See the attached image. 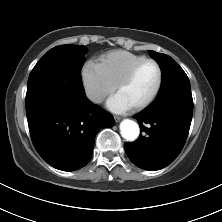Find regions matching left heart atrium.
Returning a JSON list of instances; mask_svg holds the SVG:
<instances>
[{
    "label": "left heart atrium",
    "instance_id": "1",
    "mask_svg": "<svg viewBox=\"0 0 222 222\" xmlns=\"http://www.w3.org/2000/svg\"><path fill=\"white\" fill-rule=\"evenodd\" d=\"M107 108L115 113H124L133 106L120 94H113L106 103Z\"/></svg>",
    "mask_w": 222,
    "mask_h": 222
}]
</instances>
